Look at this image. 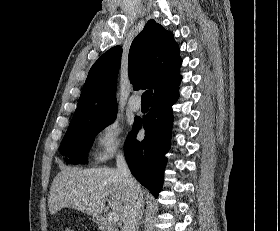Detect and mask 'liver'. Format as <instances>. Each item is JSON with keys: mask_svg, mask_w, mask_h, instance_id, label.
Listing matches in <instances>:
<instances>
[{"mask_svg": "<svg viewBox=\"0 0 280 231\" xmlns=\"http://www.w3.org/2000/svg\"><path fill=\"white\" fill-rule=\"evenodd\" d=\"M108 195L112 211H116L120 221H125L131 205V191L117 169H83L65 165L51 183L49 211L53 215L62 207H74L78 211L99 217L105 209Z\"/></svg>", "mask_w": 280, "mask_h": 231, "instance_id": "obj_1", "label": "liver"}]
</instances>
